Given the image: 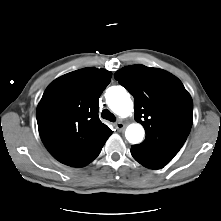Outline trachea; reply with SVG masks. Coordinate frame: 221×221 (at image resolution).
I'll return each mask as SVG.
<instances>
[{
  "label": "trachea",
  "mask_w": 221,
  "mask_h": 221,
  "mask_svg": "<svg viewBox=\"0 0 221 221\" xmlns=\"http://www.w3.org/2000/svg\"><path fill=\"white\" fill-rule=\"evenodd\" d=\"M101 116H102L103 119L109 120L111 122L116 121V117L108 109H104L101 113Z\"/></svg>",
  "instance_id": "3493384b"
}]
</instances>
